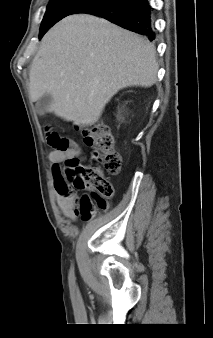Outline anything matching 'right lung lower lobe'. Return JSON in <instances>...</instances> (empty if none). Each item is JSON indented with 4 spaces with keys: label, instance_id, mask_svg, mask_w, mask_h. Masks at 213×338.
Here are the masks:
<instances>
[{
    "label": "right lung lower lobe",
    "instance_id": "right-lung-lower-lobe-1",
    "mask_svg": "<svg viewBox=\"0 0 213 338\" xmlns=\"http://www.w3.org/2000/svg\"><path fill=\"white\" fill-rule=\"evenodd\" d=\"M87 13L100 16L110 22L155 39L152 8L148 0H92L72 14Z\"/></svg>",
    "mask_w": 213,
    "mask_h": 338
}]
</instances>
